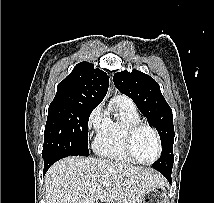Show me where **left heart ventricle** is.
<instances>
[{"label":"left heart ventricle","mask_w":214,"mask_h":203,"mask_svg":"<svg viewBox=\"0 0 214 203\" xmlns=\"http://www.w3.org/2000/svg\"><path fill=\"white\" fill-rule=\"evenodd\" d=\"M134 151L139 159L145 162L152 161L157 154V144L153 133L143 128L135 136Z\"/></svg>","instance_id":"1"}]
</instances>
